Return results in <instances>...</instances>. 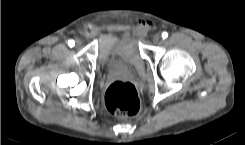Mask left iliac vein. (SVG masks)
Instances as JSON below:
<instances>
[{
    "mask_svg": "<svg viewBox=\"0 0 245 145\" xmlns=\"http://www.w3.org/2000/svg\"><path fill=\"white\" fill-rule=\"evenodd\" d=\"M160 40H161V36H160L159 34H155V35L153 36V41H154L155 43H158Z\"/></svg>",
    "mask_w": 245,
    "mask_h": 145,
    "instance_id": "1",
    "label": "left iliac vein"
}]
</instances>
